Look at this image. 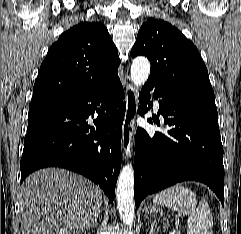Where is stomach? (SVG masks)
Returning a JSON list of instances; mask_svg holds the SVG:
<instances>
[{
    "label": "stomach",
    "mask_w": 241,
    "mask_h": 234,
    "mask_svg": "<svg viewBox=\"0 0 241 234\" xmlns=\"http://www.w3.org/2000/svg\"><path fill=\"white\" fill-rule=\"evenodd\" d=\"M145 211L147 212V214H152V213L160 212L161 209L159 207H157L156 205H153V206L145 207Z\"/></svg>",
    "instance_id": "obj_1"
}]
</instances>
